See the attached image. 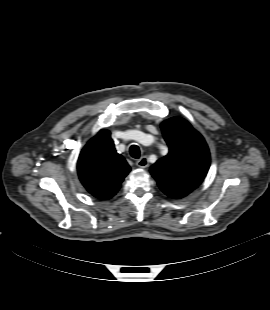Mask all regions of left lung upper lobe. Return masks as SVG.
Segmentation results:
<instances>
[{
	"mask_svg": "<svg viewBox=\"0 0 270 310\" xmlns=\"http://www.w3.org/2000/svg\"><path fill=\"white\" fill-rule=\"evenodd\" d=\"M169 153L150 167L158 186L169 190L192 192L204 180L210 153L204 138L180 117L161 123Z\"/></svg>",
	"mask_w": 270,
	"mask_h": 310,
	"instance_id": "1",
	"label": "left lung upper lobe"
}]
</instances>
